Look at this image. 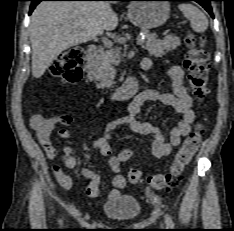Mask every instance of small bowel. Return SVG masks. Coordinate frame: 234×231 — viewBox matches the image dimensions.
Wrapping results in <instances>:
<instances>
[{
  "mask_svg": "<svg viewBox=\"0 0 234 231\" xmlns=\"http://www.w3.org/2000/svg\"><path fill=\"white\" fill-rule=\"evenodd\" d=\"M142 64H149L151 66L149 60H144ZM167 75L172 84L171 93H162L151 89L142 91L129 103L128 113L109 121L103 135L94 140V148L103 156L109 157V165L114 173L112 179L114 188L106 196L107 201L115 200L120 195L121 190L126 187V179L121 174V161L118 156L114 155L111 141L112 131L126 125L133 132L149 135L150 151L152 156L157 159L168 156L181 143L182 138L187 136L191 131L192 125L195 122V113L192 110V98L183 83V70L180 66L173 65L168 68ZM147 102H160L174 108L181 114V120L170 131L168 140L165 139L159 126L150 122L140 121L137 118L142 106ZM59 121L60 118L58 117L45 118L40 114H35L31 120L32 128L37 133L45 153L50 159L56 156V149L50 139V132ZM61 159L67 169H71L76 165V159L71 155V148L67 145L62 148ZM53 172L62 188L67 190L73 188L74 181L71 176L65 173L63 168L55 165ZM80 173L82 177L88 180L85 190L86 194L90 197H98L100 194L99 175L89 168H82Z\"/></svg>",
  "mask_w": 234,
  "mask_h": 231,
  "instance_id": "small-bowel-1",
  "label": "small bowel"
}]
</instances>
